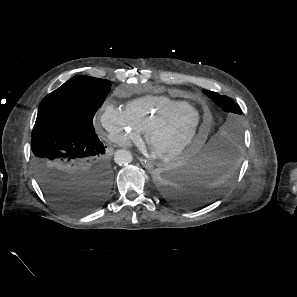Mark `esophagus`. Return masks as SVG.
I'll return each mask as SVG.
<instances>
[{"mask_svg": "<svg viewBox=\"0 0 297 297\" xmlns=\"http://www.w3.org/2000/svg\"><path fill=\"white\" fill-rule=\"evenodd\" d=\"M139 160H140L141 164L143 165V167H145L146 169H148V170L153 169L154 166H153L152 162H150L144 158H139Z\"/></svg>", "mask_w": 297, "mask_h": 297, "instance_id": "esophagus-1", "label": "esophagus"}]
</instances>
